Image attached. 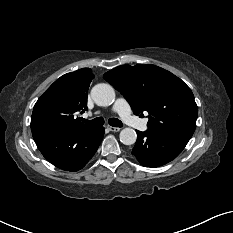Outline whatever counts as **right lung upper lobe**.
<instances>
[{"label":"right lung upper lobe","instance_id":"obj_1","mask_svg":"<svg viewBox=\"0 0 233 233\" xmlns=\"http://www.w3.org/2000/svg\"><path fill=\"white\" fill-rule=\"evenodd\" d=\"M83 68L57 79L34 105L31 117L33 135L41 133H76L90 127L77 116L87 110L88 88L94 75Z\"/></svg>","mask_w":233,"mask_h":233}]
</instances>
